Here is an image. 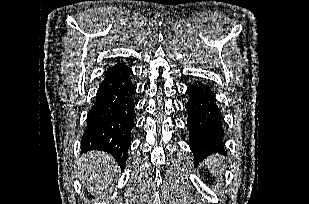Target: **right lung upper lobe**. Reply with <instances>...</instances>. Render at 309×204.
<instances>
[{
	"instance_id": "obj_1",
	"label": "right lung upper lobe",
	"mask_w": 309,
	"mask_h": 204,
	"mask_svg": "<svg viewBox=\"0 0 309 204\" xmlns=\"http://www.w3.org/2000/svg\"><path fill=\"white\" fill-rule=\"evenodd\" d=\"M122 65H124V64L118 63V64H116V65H114V66H112V67H110V68H108V69L115 68V67L122 66Z\"/></svg>"
}]
</instances>
